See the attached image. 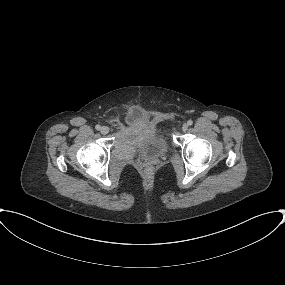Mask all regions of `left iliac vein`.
Returning a JSON list of instances; mask_svg holds the SVG:
<instances>
[{"mask_svg": "<svg viewBox=\"0 0 285 285\" xmlns=\"http://www.w3.org/2000/svg\"><path fill=\"white\" fill-rule=\"evenodd\" d=\"M187 129H188V124H186V123L183 124V125H182V130H183V131H187Z\"/></svg>", "mask_w": 285, "mask_h": 285, "instance_id": "left-iliac-vein-1", "label": "left iliac vein"}]
</instances>
